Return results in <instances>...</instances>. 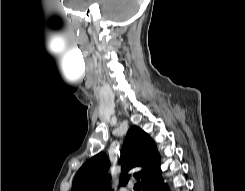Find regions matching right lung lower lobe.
Instances as JSON below:
<instances>
[{
    "label": "right lung lower lobe",
    "mask_w": 245,
    "mask_h": 191,
    "mask_svg": "<svg viewBox=\"0 0 245 191\" xmlns=\"http://www.w3.org/2000/svg\"><path fill=\"white\" fill-rule=\"evenodd\" d=\"M143 191H169V189L165 185L162 176H160L153 183L144 188Z\"/></svg>",
    "instance_id": "98d812e1"
}]
</instances>
